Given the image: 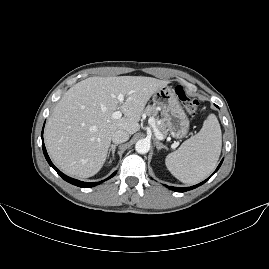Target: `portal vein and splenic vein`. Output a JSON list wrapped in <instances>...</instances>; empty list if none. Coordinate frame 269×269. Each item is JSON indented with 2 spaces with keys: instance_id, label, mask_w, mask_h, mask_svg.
I'll list each match as a JSON object with an SVG mask.
<instances>
[{
  "instance_id": "obj_1",
  "label": "portal vein and splenic vein",
  "mask_w": 269,
  "mask_h": 269,
  "mask_svg": "<svg viewBox=\"0 0 269 269\" xmlns=\"http://www.w3.org/2000/svg\"><path fill=\"white\" fill-rule=\"evenodd\" d=\"M117 99L120 101V102H123L124 101V95L123 94H119L117 96ZM112 117L114 119H119L122 117V113L121 111H115L113 114H112ZM147 125L148 127L150 128H153L154 127V134H155V137L158 139V140H163L164 139V136L163 134L157 129L155 128V125H156V119L155 117L153 116H150L148 117L147 119Z\"/></svg>"
}]
</instances>
